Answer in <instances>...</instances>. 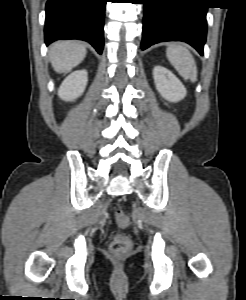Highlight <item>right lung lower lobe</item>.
Returning <instances> with one entry per match:
<instances>
[{"label":"right lung lower lobe","mask_w":246,"mask_h":300,"mask_svg":"<svg viewBox=\"0 0 246 300\" xmlns=\"http://www.w3.org/2000/svg\"><path fill=\"white\" fill-rule=\"evenodd\" d=\"M106 0H48L46 4L45 42L80 39L89 42L101 54Z\"/></svg>","instance_id":"1"}]
</instances>
